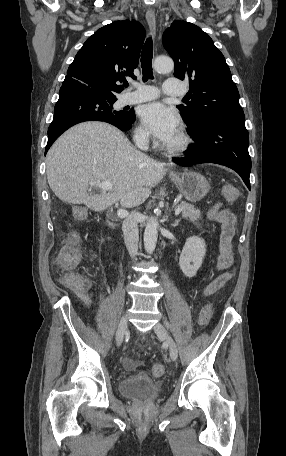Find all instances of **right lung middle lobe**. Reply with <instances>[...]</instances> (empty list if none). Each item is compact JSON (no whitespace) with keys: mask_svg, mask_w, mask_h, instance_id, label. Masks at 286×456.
<instances>
[{"mask_svg":"<svg viewBox=\"0 0 286 456\" xmlns=\"http://www.w3.org/2000/svg\"><path fill=\"white\" fill-rule=\"evenodd\" d=\"M115 101H116V99L108 101V104L106 106L107 108L104 111L105 114L110 116V117H121L123 115H126L127 111H115V110H113V104H114Z\"/></svg>","mask_w":286,"mask_h":456,"instance_id":"right-lung-middle-lobe-1","label":"right lung middle lobe"}]
</instances>
